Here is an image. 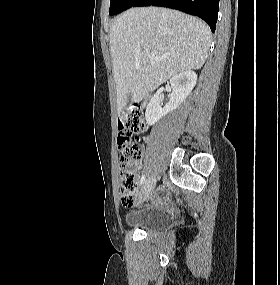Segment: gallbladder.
I'll return each mask as SVG.
<instances>
[{
  "label": "gallbladder",
  "mask_w": 280,
  "mask_h": 285,
  "mask_svg": "<svg viewBox=\"0 0 280 285\" xmlns=\"http://www.w3.org/2000/svg\"><path fill=\"white\" fill-rule=\"evenodd\" d=\"M131 97H132L131 94H129V95H128V98H127V104H126V106L131 103Z\"/></svg>",
  "instance_id": "gallbladder-1"
}]
</instances>
